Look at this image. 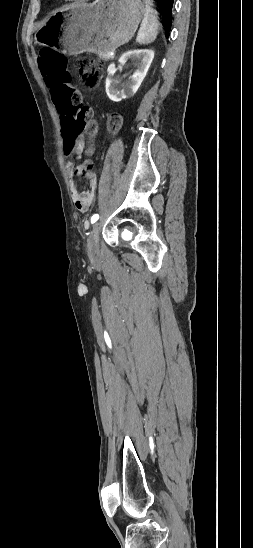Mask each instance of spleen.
I'll use <instances>...</instances> for the list:
<instances>
[{
  "mask_svg": "<svg viewBox=\"0 0 253 548\" xmlns=\"http://www.w3.org/2000/svg\"><path fill=\"white\" fill-rule=\"evenodd\" d=\"M160 24L158 13L151 7V1L145 0L144 17L141 23L136 42L139 44H148L157 37Z\"/></svg>",
  "mask_w": 253,
  "mask_h": 548,
  "instance_id": "obj_1",
  "label": "spleen"
}]
</instances>
